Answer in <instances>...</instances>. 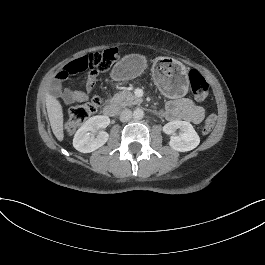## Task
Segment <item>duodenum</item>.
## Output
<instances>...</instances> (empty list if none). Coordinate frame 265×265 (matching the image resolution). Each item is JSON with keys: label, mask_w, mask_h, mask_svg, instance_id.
<instances>
[{"label": "duodenum", "mask_w": 265, "mask_h": 265, "mask_svg": "<svg viewBox=\"0 0 265 265\" xmlns=\"http://www.w3.org/2000/svg\"><path fill=\"white\" fill-rule=\"evenodd\" d=\"M119 113V107L116 103H107L103 108V114L107 117H114Z\"/></svg>", "instance_id": "obj_1"}]
</instances>
